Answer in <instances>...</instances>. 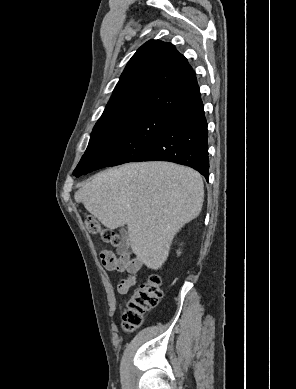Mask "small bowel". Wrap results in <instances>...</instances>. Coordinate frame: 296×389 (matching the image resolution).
Returning a JSON list of instances; mask_svg holds the SVG:
<instances>
[{
    "label": "small bowel",
    "mask_w": 296,
    "mask_h": 389,
    "mask_svg": "<svg viewBox=\"0 0 296 389\" xmlns=\"http://www.w3.org/2000/svg\"><path fill=\"white\" fill-rule=\"evenodd\" d=\"M108 258L113 259L112 265L108 263ZM101 261L107 270L126 272L125 277L118 284L119 293L126 294L135 285L142 267V262L138 257L132 256L129 251H123L119 256L111 251H104L101 253Z\"/></svg>",
    "instance_id": "small-bowel-1"
}]
</instances>
